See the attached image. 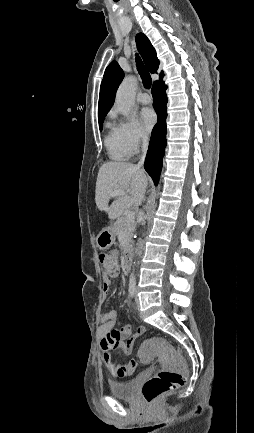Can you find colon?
Wrapping results in <instances>:
<instances>
[{"label": "colon", "mask_w": 254, "mask_h": 433, "mask_svg": "<svg viewBox=\"0 0 254 433\" xmlns=\"http://www.w3.org/2000/svg\"><path fill=\"white\" fill-rule=\"evenodd\" d=\"M99 261L108 276L113 277L118 274L117 252L115 250L101 252L99 254ZM144 332V328L138 329L140 336ZM152 345L161 349L171 361L165 369L149 378L143 384L141 395L149 403L155 402L172 390L181 388L185 383L186 371V363L171 349L165 339L156 338L152 341ZM140 358L145 362L150 360V356L145 350H142Z\"/></svg>", "instance_id": "obj_1"}]
</instances>
